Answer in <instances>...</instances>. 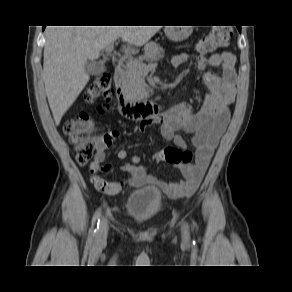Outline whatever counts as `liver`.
Wrapping results in <instances>:
<instances>
[{
	"label": "liver",
	"mask_w": 292,
	"mask_h": 292,
	"mask_svg": "<svg viewBox=\"0 0 292 292\" xmlns=\"http://www.w3.org/2000/svg\"><path fill=\"white\" fill-rule=\"evenodd\" d=\"M160 26H47L43 78L49 106L56 125L89 81L87 60H97L103 49L118 38L129 45L126 53H136Z\"/></svg>",
	"instance_id": "obj_1"
}]
</instances>
